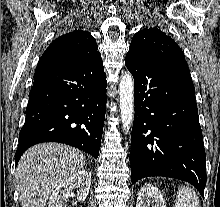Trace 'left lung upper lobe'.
Masks as SVG:
<instances>
[{
	"mask_svg": "<svg viewBox=\"0 0 220 207\" xmlns=\"http://www.w3.org/2000/svg\"><path fill=\"white\" fill-rule=\"evenodd\" d=\"M129 50L161 61H185L184 54L177 43L156 27H146L137 32L132 38Z\"/></svg>",
	"mask_w": 220,
	"mask_h": 207,
	"instance_id": "left-lung-upper-lobe-1",
	"label": "left lung upper lobe"
}]
</instances>
